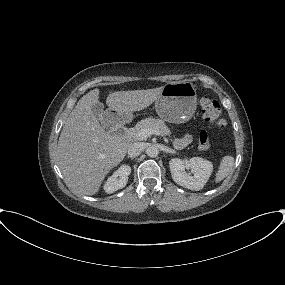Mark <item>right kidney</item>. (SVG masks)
I'll list each match as a JSON object with an SVG mask.
<instances>
[{
	"label": "right kidney",
	"instance_id": "ca27d5eb",
	"mask_svg": "<svg viewBox=\"0 0 285 285\" xmlns=\"http://www.w3.org/2000/svg\"><path fill=\"white\" fill-rule=\"evenodd\" d=\"M130 173L131 167L129 165L120 166V168L116 170L104 184L105 192L111 194L119 189L124 188L128 182V176Z\"/></svg>",
	"mask_w": 285,
	"mask_h": 285
}]
</instances>
